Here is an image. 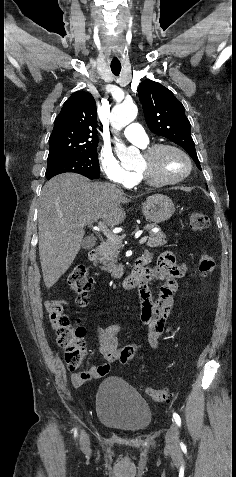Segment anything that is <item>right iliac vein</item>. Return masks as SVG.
<instances>
[{
    "instance_id": "1",
    "label": "right iliac vein",
    "mask_w": 236,
    "mask_h": 477,
    "mask_svg": "<svg viewBox=\"0 0 236 477\" xmlns=\"http://www.w3.org/2000/svg\"><path fill=\"white\" fill-rule=\"evenodd\" d=\"M81 444L83 447H87L89 444V438L85 432H82L81 434Z\"/></svg>"
}]
</instances>
